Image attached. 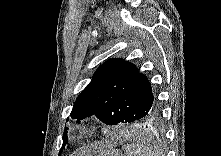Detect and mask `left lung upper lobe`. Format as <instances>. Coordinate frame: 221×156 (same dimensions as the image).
<instances>
[{
	"instance_id": "obj_1",
	"label": "left lung upper lobe",
	"mask_w": 221,
	"mask_h": 156,
	"mask_svg": "<svg viewBox=\"0 0 221 156\" xmlns=\"http://www.w3.org/2000/svg\"><path fill=\"white\" fill-rule=\"evenodd\" d=\"M157 107L147 77L132 63L115 58L97 69L76 99L70 116L78 122L95 115L107 125L127 124Z\"/></svg>"
}]
</instances>
